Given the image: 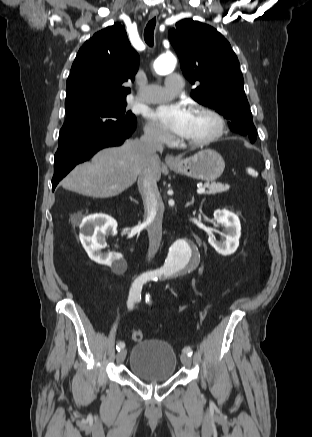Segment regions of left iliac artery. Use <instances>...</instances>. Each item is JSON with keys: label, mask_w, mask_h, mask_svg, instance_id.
Returning a JSON list of instances; mask_svg holds the SVG:
<instances>
[{"label": "left iliac artery", "mask_w": 312, "mask_h": 437, "mask_svg": "<svg viewBox=\"0 0 312 437\" xmlns=\"http://www.w3.org/2000/svg\"><path fill=\"white\" fill-rule=\"evenodd\" d=\"M154 280L156 281V280H157V277H154ZM146 301H148V303H150V294H147V295H146ZM183 351H184V353H187L189 356H191V355L193 354V350H192V348L189 347V346H186V347L183 349Z\"/></svg>", "instance_id": "44dca946"}]
</instances>
